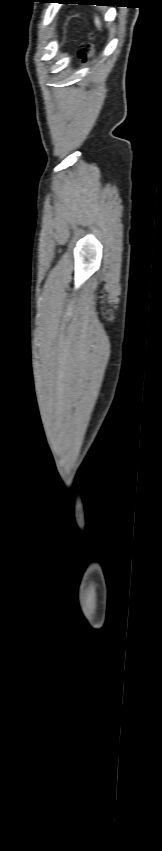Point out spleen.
Returning a JSON list of instances; mask_svg holds the SVG:
<instances>
[{
    "label": "spleen",
    "instance_id": "1",
    "mask_svg": "<svg viewBox=\"0 0 162 851\" xmlns=\"http://www.w3.org/2000/svg\"><path fill=\"white\" fill-rule=\"evenodd\" d=\"M95 25L97 26L98 29H101V22H100V20L97 16L95 17Z\"/></svg>",
    "mask_w": 162,
    "mask_h": 851
}]
</instances>
